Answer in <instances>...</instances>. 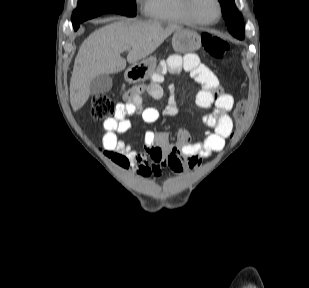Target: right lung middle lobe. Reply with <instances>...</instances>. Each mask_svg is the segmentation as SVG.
<instances>
[{"label": "right lung middle lobe", "instance_id": "right-lung-middle-lobe-1", "mask_svg": "<svg viewBox=\"0 0 309 288\" xmlns=\"http://www.w3.org/2000/svg\"><path fill=\"white\" fill-rule=\"evenodd\" d=\"M113 12L129 17L136 15L135 0H78V7L73 12L72 23L74 30L85 20L103 13Z\"/></svg>", "mask_w": 309, "mask_h": 288}]
</instances>
